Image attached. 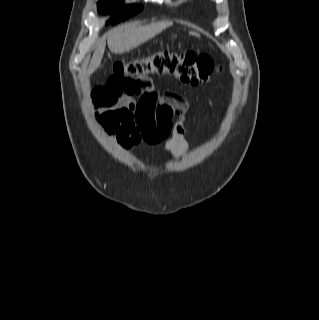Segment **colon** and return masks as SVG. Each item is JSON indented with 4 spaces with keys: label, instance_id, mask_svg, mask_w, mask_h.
I'll return each instance as SVG.
<instances>
[{
    "label": "colon",
    "instance_id": "5ec220e1",
    "mask_svg": "<svg viewBox=\"0 0 319 320\" xmlns=\"http://www.w3.org/2000/svg\"><path fill=\"white\" fill-rule=\"evenodd\" d=\"M217 71L218 66L206 55L192 51L160 50L141 59L115 64L109 84L129 87L152 76L170 75L181 82L200 85L207 83ZM122 128L130 143L143 141L158 144L171 133V127L160 124L152 114L128 115Z\"/></svg>",
    "mask_w": 319,
    "mask_h": 320
}]
</instances>
